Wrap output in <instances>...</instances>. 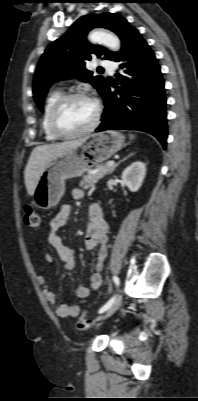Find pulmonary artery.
Returning a JSON list of instances; mask_svg holds the SVG:
<instances>
[{
  "mask_svg": "<svg viewBox=\"0 0 198 401\" xmlns=\"http://www.w3.org/2000/svg\"><path fill=\"white\" fill-rule=\"evenodd\" d=\"M100 65L107 68L111 73L113 72V70L116 67L115 62H113L112 60H109V59H102L100 61Z\"/></svg>",
  "mask_w": 198,
  "mask_h": 401,
  "instance_id": "obj_1",
  "label": "pulmonary artery"
}]
</instances>
